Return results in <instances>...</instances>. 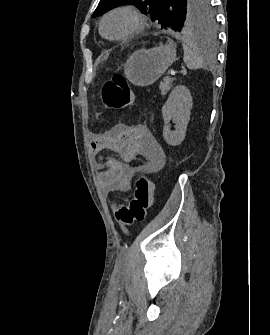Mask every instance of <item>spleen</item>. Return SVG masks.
<instances>
[{
  "label": "spleen",
  "instance_id": "3e777b00",
  "mask_svg": "<svg viewBox=\"0 0 270 335\" xmlns=\"http://www.w3.org/2000/svg\"><path fill=\"white\" fill-rule=\"evenodd\" d=\"M183 40V50H184V62L187 68L190 70H198V68H203L206 56H204L201 48H197L195 44H188L186 38H181Z\"/></svg>",
  "mask_w": 270,
  "mask_h": 335
}]
</instances>
